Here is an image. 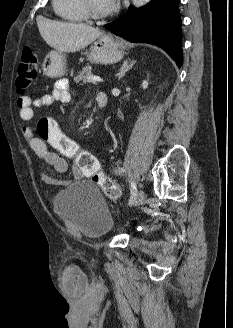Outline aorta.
Listing matches in <instances>:
<instances>
[{
	"mask_svg": "<svg viewBox=\"0 0 233 328\" xmlns=\"http://www.w3.org/2000/svg\"><path fill=\"white\" fill-rule=\"evenodd\" d=\"M150 0H132L135 7H141L143 4L149 2Z\"/></svg>",
	"mask_w": 233,
	"mask_h": 328,
	"instance_id": "aorta-1",
	"label": "aorta"
}]
</instances>
